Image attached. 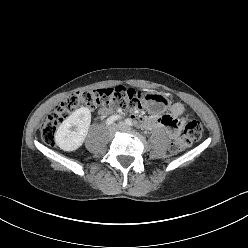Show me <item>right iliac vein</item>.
Segmentation results:
<instances>
[{
    "instance_id": "right-iliac-vein-1",
    "label": "right iliac vein",
    "mask_w": 248,
    "mask_h": 248,
    "mask_svg": "<svg viewBox=\"0 0 248 248\" xmlns=\"http://www.w3.org/2000/svg\"><path fill=\"white\" fill-rule=\"evenodd\" d=\"M116 131H117V126L116 125H113L112 127L109 128L108 135L110 137H113L114 134L116 133Z\"/></svg>"
}]
</instances>
